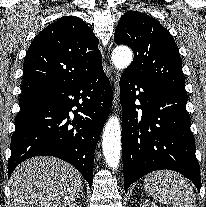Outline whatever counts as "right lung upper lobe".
Segmentation results:
<instances>
[{
	"label": "right lung upper lobe",
	"mask_w": 206,
	"mask_h": 207,
	"mask_svg": "<svg viewBox=\"0 0 206 207\" xmlns=\"http://www.w3.org/2000/svg\"><path fill=\"white\" fill-rule=\"evenodd\" d=\"M101 61L98 39L88 25L75 16L63 17L32 41L23 65L22 96L79 82L101 71Z\"/></svg>",
	"instance_id": "1"
}]
</instances>
